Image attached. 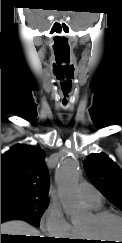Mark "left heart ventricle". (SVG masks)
Here are the masks:
<instances>
[{
	"instance_id": "b2bd125f",
	"label": "left heart ventricle",
	"mask_w": 122,
	"mask_h": 243,
	"mask_svg": "<svg viewBox=\"0 0 122 243\" xmlns=\"http://www.w3.org/2000/svg\"><path fill=\"white\" fill-rule=\"evenodd\" d=\"M79 228L88 231L93 236L100 239H122V221L109 217L96 223L92 215L83 221ZM103 243H115L114 241H101Z\"/></svg>"
}]
</instances>
